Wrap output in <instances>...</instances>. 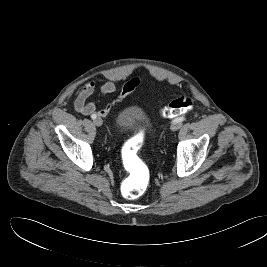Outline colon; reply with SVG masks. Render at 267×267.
<instances>
[{"mask_svg":"<svg viewBox=\"0 0 267 267\" xmlns=\"http://www.w3.org/2000/svg\"><path fill=\"white\" fill-rule=\"evenodd\" d=\"M193 106L192 97L182 96L160 109V114L165 118H173L190 111ZM143 143V135L138 134L127 140L121 149L123 164L128 172V176L122 184V194L129 199L141 196L149 183V171L139 157V150Z\"/></svg>","mask_w":267,"mask_h":267,"instance_id":"5ec220e1","label":"colon"}]
</instances>
